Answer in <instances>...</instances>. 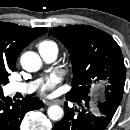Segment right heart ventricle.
I'll list each match as a JSON object with an SVG mask.
<instances>
[{
	"label": "right heart ventricle",
	"instance_id": "obj_1",
	"mask_svg": "<svg viewBox=\"0 0 130 130\" xmlns=\"http://www.w3.org/2000/svg\"><path fill=\"white\" fill-rule=\"evenodd\" d=\"M53 48L57 49V45L51 40H43L38 44L39 51L49 50Z\"/></svg>",
	"mask_w": 130,
	"mask_h": 130
}]
</instances>
